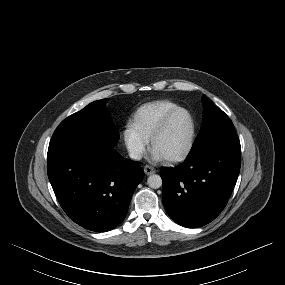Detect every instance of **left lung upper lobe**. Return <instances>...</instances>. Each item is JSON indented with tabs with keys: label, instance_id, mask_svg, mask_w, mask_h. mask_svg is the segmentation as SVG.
Here are the masks:
<instances>
[{
	"label": "left lung upper lobe",
	"instance_id": "1",
	"mask_svg": "<svg viewBox=\"0 0 285 285\" xmlns=\"http://www.w3.org/2000/svg\"><path fill=\"white\" fill-rule=\"evenodd\" d=\"M203 121L201 130L187 157L227 147H240L234 125L229 117L208 97L202 96Z\"/></svg>",
	"mask_w": 285,
	"mask_h": 285
}]
</instances>
